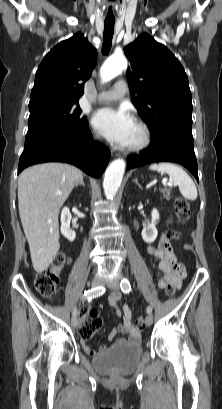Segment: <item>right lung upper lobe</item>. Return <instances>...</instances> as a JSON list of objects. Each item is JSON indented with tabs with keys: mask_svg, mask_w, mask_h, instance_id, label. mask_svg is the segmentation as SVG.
<instances>
[{
	"mask_svg": "<svg viewBox=\"0 0 222 409\" xmlns=\"http://www.w3.org/2000/svg\"><path fill=\"white\" fill-rule=\"evenodd\" d=\"M97 51L81 33L60 42L43 59L35 76L29 108L78 101L96 65Z\"/></svg>",
	"mask_w": 222,
	"mask_h": 409,
	"instance_id": "1",
	"label": "right lung upper lobe"
}]
</instances>
